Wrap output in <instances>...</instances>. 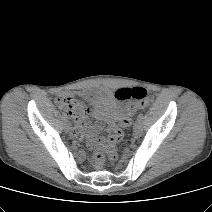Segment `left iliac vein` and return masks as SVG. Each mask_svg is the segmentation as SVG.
<instances>
[{"label": "left iliac vein", "instance_id": "left-iliac-vein-1", "mask_svg": "<svg viewBox=\"0 0 212 212\" xmlns=\"http://www.w3.org/2000/svg\"><path fill=\"white\" fill-rule=\"evenodd\" d=\"M142 130V124H141V121H136L134 123V126H133V131L135 134H139Z\"/></svg>", "mask_w": 212, "mask_h": 212}]
</instances>
